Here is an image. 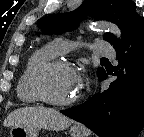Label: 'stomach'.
<instances>
[{"label": "stomach", "instance_id": "0dacf381", "mask_svg": "<svg viewBox=\"0 0 144 137\" xmlns=\"http://www.w3.org/2000/svg\"><path fill=\"white\" fill-rule=\"evenodd\" d=\"M71 137H84L81 129L76 126L70 129ZM10 137H38V128L14 126L10 131Z\"/></svg>", "mask_w": 144, "mask_h": 137}]
</instances>
